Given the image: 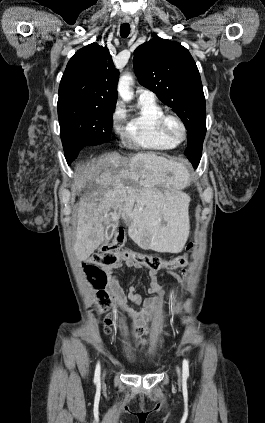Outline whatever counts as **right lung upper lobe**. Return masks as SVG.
<instances>
[{
  "instance_id": "right-lung-upper-lobe-1",
  "label": "right lung upper lobe",
  "mask_w": 265,
  "mask_h": 423,
  "mask_svg": "<svg viewBox=\"0 0 265 423\" xmlns=\"http://www.w3.org/2000/svg\"><path fill=\"white\" fill-rule=\"evenodd\" d=\"M118 78L119 70L114 68L108 48L89 44L68 62L58 102L78 101L115 109Z\"/></svg>"
}]
</instances>
